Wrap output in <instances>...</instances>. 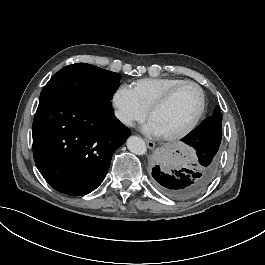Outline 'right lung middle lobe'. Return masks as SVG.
I'll return each mask as SVG.
<instances>
[{
  "label": "right lung middle lobe",
  "instance_id": "right-lung-middle-lobe-1",
  "mask_svg": "<svg viewBox=\"0 0 265 265\" xmlns=\"http://www.w3.org/2000/svg\"><path fill=\"white\" fill-rule=\"evenodd\" d=\"M120 75L85 63L58 71L46 84L41 96L57 95L71 99L110 104L120 84Z\"/></svg>",
  "mask_w": 265,
  "mask_h": 265
}]
</instances>
